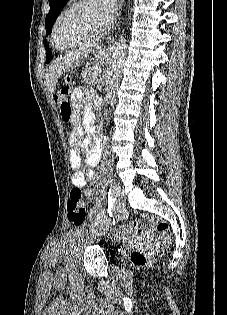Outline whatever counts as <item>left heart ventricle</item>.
<instances>
[{
	"label": "left heart ventricle",
	"mask_w": 227,
	"mask_h": 315,
	"mask_svg": "<svg viewBox=\"0 0 227 315\" xmlns=\"http://www.w3.org/2000/svg\"><path fill=\"white\" fill-rule=\"evenodd\" d=\"M106 25L98 3H85L69 11L61 20L57 31V44L61 47L79 44L96 35Z\"/></svg>",
	"instance_id": "1"
}]
</instances>
